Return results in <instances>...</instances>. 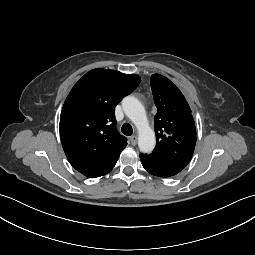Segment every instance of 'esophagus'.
<instances>
[{"instance_id":"1","label":"esophagus","mask_w":255,"mask_h":255,"mask_svg":"<svg viewBox=\"0 0 255 255\" xmlns=\"http://www.w3.org/2000/svg\"><path fill=\"white\" fill-rule=\"evenodd\" d=\"M129 140H130V143L132 145H136L137 144V136L136 135L130 136Z\"/></svg>"}]
</instances>
